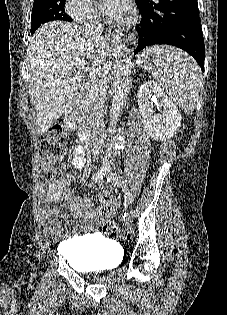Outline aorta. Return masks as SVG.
Returning a JSON list of instances; mask_svg holds the SVG:
<instances>
[{"label": "aorta", "mask_w": 227, "mask_h": 315, "mask_svg": "<svg viewBox=\"0 0 227 315\" xmlns=\"http://www.w3.org/2000/svg\"><path fill=\"white\" fill-rule=\"evenodd\" d=\"M112 44L114 48H118L120 45V40L118 38L112 39ZM134 63L132 60V54L130 51H127L124 55L123 60L121 61L116 77L113 81L112 91H113V100L110 110V123L109 129L112 131V128L117 122L118 116L121 112L124 100L126 98L127 91L129 90L131 77L133 73ZM109 148L107 153L109 152ZM108 162L107 154L103 163Z\"/></svg>", "instance_id": "1"}]
</instances>
